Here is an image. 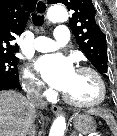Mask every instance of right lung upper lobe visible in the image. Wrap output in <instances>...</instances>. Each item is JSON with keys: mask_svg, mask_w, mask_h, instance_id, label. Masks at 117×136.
Here are the masks:
<instances>
[{"mask_svg": "<svg viewBox=\"0 0 117 136\" xmlns=\"http://www.w3.org/2000/svg\"><path fill=\"white\" fill-rule=\"evenodd\" d=\"M37 0H0V55L19 51L14 40L21 35Z\"/></svg>", "mask_w": 117, "mask_h": 136, "instance_id": "obj_1", "label": "right lung upper lobe"}]
</instances>
